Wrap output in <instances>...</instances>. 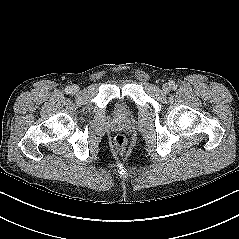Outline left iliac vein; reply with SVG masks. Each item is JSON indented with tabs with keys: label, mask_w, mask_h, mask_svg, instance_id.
I'll use <instances>...</instances> for the list:
<instances>
[{
	"label": "left iliac vein",
	"mask_w": 239,
	"mask_h": 239,
	"mask_svg": "<svg viewBox=\"0 0 239 239\" xmlns=\"http://www.w3.org/2000/svg\"><path fill=\"white\" fill-rule=\"evenodd\" d=\"M162 90L164 93H167V92H169L170 88L167 84H165V85H163Z\"/></svg>",
	"instance_id": "left-iliac-vein-1"
}]
</instances>
